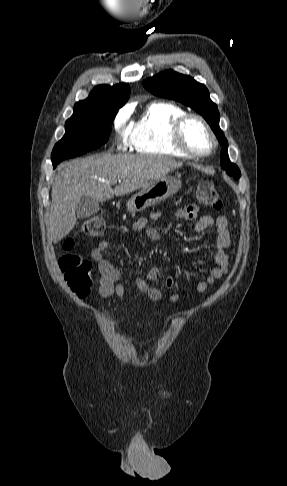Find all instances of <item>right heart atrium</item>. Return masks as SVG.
<instances>
[{"mask_svg": "<svg viewBox=\"0 0 287 486\" xmlns=\"http://www.w3.org/2000/svg\"><path fill=\"white\" fill-rule=\"evenodd\" d=\"M127 119H128V116L125 112H120L118 113V115L115 117L114 121H113V125L115 127L116 130L118 131H122L126 122H127ZM129 142H128V139L126 137V135H123L122 138H121V141L119 143V147L120 149H127L129 147Z\"/></svg>", "mask_w": 287, "mask_h": 486, "instance_id": "1", "label": "right heart atrium"}]
</instances>
